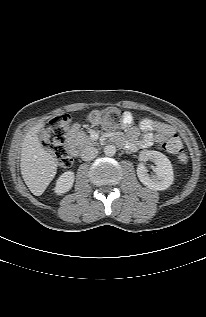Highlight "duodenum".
<instances>
[{
	"label": "duodenum",
	"mask_w": 206,
	"mask_h": 317,
	"mask_svg": "<svg viewBox=\"0 0 206 317\" xmlns=\"http://www.w3.org/2000/svg\"><path fill=\"white\" fill-rule=\"evenodd\" d=\"M79 130L80 127L77 124L72 125V127L68 130V133L69 135H71V137H69V139L67 140V148L72 156H77L79 153V148L76 144L77 139L76 137H74V135H76V133L79 132Z\"/></svg>",
	"instance_id": "obj_1"
}]
</instances>
